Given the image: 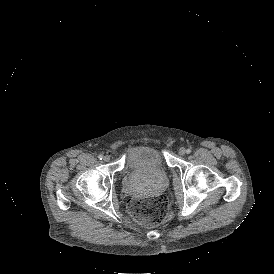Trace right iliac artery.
Listing matches in <instances>:
<instances>
[{"label": "right iliac artery", "mask_w": 274, "mask_h": 274, "mask_svg": "<svg viewBox=\"0 0 274 274\" xmlns=\"http://www.w3.org/2000/svg\"><path fill=\"white\" fill-rule=\"evenodd\" d=\"M98 158H99L100 160H102V159H103V155H102V154H99V155H98Z\"/></svg>", "instance_id": "right-iliac-artery-1"}]
</instances>
